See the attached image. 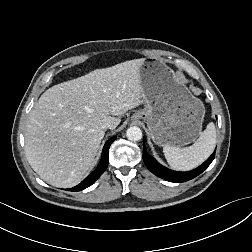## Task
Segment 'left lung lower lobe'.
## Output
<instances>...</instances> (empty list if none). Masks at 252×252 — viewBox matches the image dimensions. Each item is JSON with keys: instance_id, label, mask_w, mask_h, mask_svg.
I'll return each instance as SVG.
<instances>
[{"instance_id": "1", "label": "left lung lower lobe", "mask_w": 252, "mask_h": 252, "mask_svg": "<svg viewBox=\"0 0 252 252\" xmlns=\"http://www.w3.org/2000/svg\"><path fill=\"white\" fill-rule=\"evenodd\" d=\"M145 142V138L143 139ZM215 157V153H213L202 165L198 168L188 171V172H176L173 170H169L166 167L159 164L152 156H150L147 151L146 147L144 146L143 150V160L147 168L154 173L156 176L163 178L170 182H185L190 179L195 178L199 174H201L207 167L211 164Z\"/></svg>"}]
</instances>
